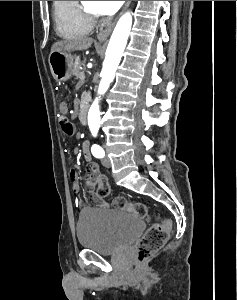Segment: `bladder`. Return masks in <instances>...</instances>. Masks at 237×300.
Masks as SVG:
<instances>
[{
    "label": "bladder",
    "mask_w": 237,
    "mask_h": 300,
    "mask_svg": "<svg viewBox=\"0 0 237 300\" xmlns=\"http://www.w3.org/2000/svg\"><path fill=\"white\" fill-rule=\"evenodd\" d=\"M143 226L141 218L122 210H86L79 216L76 236L82 248L112 255L128 248Z\"/></svg>",
    "instance_id": "obj_1"
}]
</instances>
